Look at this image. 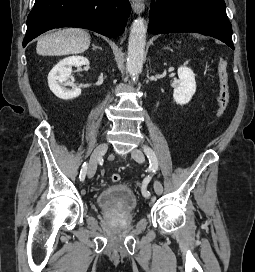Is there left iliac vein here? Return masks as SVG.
<instances>
[{
	"label": "left iliac vein",
	"instance_id": "1",
	"mask_svg": "<svg viewBox=\"0 0 255 272\" xmlns=\"http://www.w3.org/2000/svg\"><path fill=\"white\" fill-rule=\"evenodd\" d=\"M131 156L138 163L144 162V154L140 149L136 148V149L132 150ZM154 190H155L156 194H158V195L163 192L162 184L158 180L154 181Z\"/></svg>",
	"mask_w": 255,
	"mask_h": 272
}]
</instances>
